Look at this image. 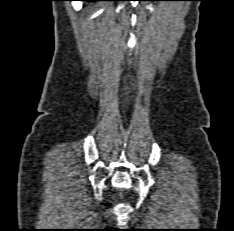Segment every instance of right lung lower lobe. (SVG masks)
Listing matches in <instances>:
<instances>
[{"instance_id": "1", "label": "right lung lower lobe", "mask_w": 234, "mask_h": 231, "mask_svg": "<svg viewBox=\"0 0 234 231\" xmlns=\"http://www.w3.org/2000/svg\"><path fill=\"white\" fill-rule=\"evenodd\" d=\"M82 1H100V0H82Z\"/></svg>"}]
</instances>
